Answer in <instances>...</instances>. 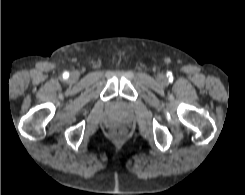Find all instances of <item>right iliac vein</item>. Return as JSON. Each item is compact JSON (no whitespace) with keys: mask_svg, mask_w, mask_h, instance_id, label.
<instances>
[{"mask_svg":"<svg viewBox=\"0 0 245 195\" xmlns=\"http://www.w3.org/2000/svg\"><path fill=\"white\" fill-rule=\"evenodd\" d=\"M70 78H71L72 81H75L78 78V74L77 73H72Z\"/></svg>","mask_w":245,"mask_h":195,"instance_id":"63e3f726","label":"right iliac vein"}]
</instances>
